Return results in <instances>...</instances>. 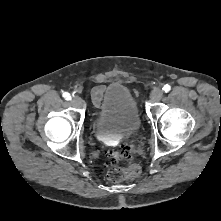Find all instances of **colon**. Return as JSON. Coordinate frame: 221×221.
I'll list each match as a JSON object with an SVG mask.
<instances>
[{"label": "colon", "mask_w": 221, "mask_h": 221, "mask_svg": "<svg viewBox=\"0 0 221 221\" xmlns=\"http://www.w3.org/2000/svg\"><path fill=\"white\" fill-rule=\"evenodd\" d=\"M132 147L128 144L122 145L119 151H113L109 154L111 167L107 171V178L109 181L117 183L126 179L136 178L141 173L139 164L131 161ZM121 160H127L126 167L117 166L116 163Z\"/></svg>", "instance_id": "colon-1"}]
</instances>
